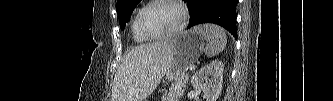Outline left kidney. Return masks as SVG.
Masks as SVG:
<instances>
[{"instance_id": "5707ae66", "label": "left kidney", "mask_w": 333, "mask_h": 101, "mask_svg": "<svg viewBox=\"0 0 333 101\" xmlns=\"http://www.w3.org/2000/svg\"><path fill=\"white\" fill-rule=\"evenodd\" d=\"M223 62L214 60L195 73L192 78L194 89L203 92L206 101H216L222 91Z\"/></svg>"}]
</instances>
